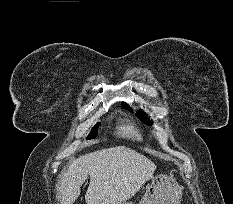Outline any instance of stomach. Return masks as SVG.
Returning a JSON list of instances; mask_svg holds the SVG:
<instances>
[{
  "instance_id": "1",
  "label": "stomach",
  "mask_w": 233,
  "mask_h": 204,
  "mask_svg": "<svg viewBox=\"0 0 233 204\" xmlns=\"http://www.w3.org/2000/svg\"><path fill=\"white\" fill-rule=\"evenodd\" d=\"M182 188L171 176L160 174L151 178L139 204H180ZM120 204H134L124 201Z\"/></svg>"
}]
</instances>
